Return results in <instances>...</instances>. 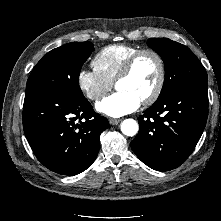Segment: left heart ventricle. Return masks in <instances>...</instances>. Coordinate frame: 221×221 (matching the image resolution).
<instances>
[{
	"instance_id": "obj_1",
	"label": "left heart ventricle",
	"mask_w": 221,
	"mask_h": 221,
	"mask_svg": "<svg viewBox=\"0 0 221 221\" xmlns=\"http://www.w3.org/2000/svg\"><path fill=\"white\" fill-rule=\"evenodd\" d=\"M158 79V65L151 55L142 56L135 65L132 74L118 82L117 90L134 94L141 101L153 91Z\"/></svg>"
}]
</instances>
